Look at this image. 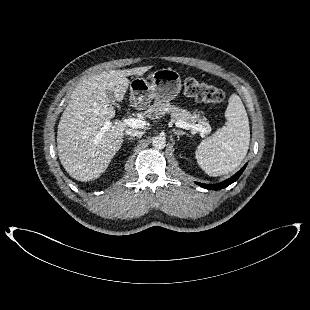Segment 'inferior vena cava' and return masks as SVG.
Masks as SVG:
<instances>
[{"label": "inferior vena cava", "mask_w": 310, "mask_h": 310, "mask_svg": "<svg viewBox=\"0 0 310 310\" xmlns=\"http://www.w3.org/2000/svg\"><path fill=\"white\" fill-rule=\"evenodd\" d=\"M125 134L133 136V137H142L144 133L142 131L135 130V129H127L125 131Z\"/></svg>", "instance_id": "inferior-vena-cava-1"}]
</instances>
